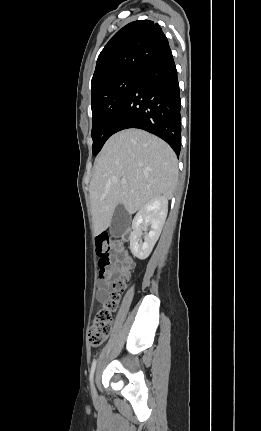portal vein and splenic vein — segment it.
Masks as SVG:
<instances>
[{"label": "portal vein and splenic vein", "instance_id": "obj_1", "mask_svg": "<svg viewBox=\"0 0 261 431\" xmlns=\"http://www.w3.org/2000/svg\"><path fill=\"white\" fill-rule=\"evenodd\" d=\"M123 184H125L127 181L125 179H122L121 181Z\"/></svg>", "mask_w": 261, "mask_h": 431}]
</instances>
